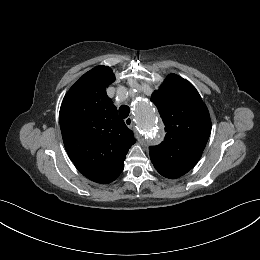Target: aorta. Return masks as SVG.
<instances>
[{
	"instance_id": "aorta-1",
	"label": "aorta",
	"mask_w": 260,
	"mask_h": 260,
	"mask_svg": "<svg viewBox=\"0 0 260 260\" xmlns=\"http://www.w3.org/2000/svg\"><path fill=\"white\" fill-rule=\"evenodd\" d=\"M135 114L140 134L149 144H155L159 140L155 109L147 101L141 99L135 104Z\"/></svg>"
}]
</instances>
